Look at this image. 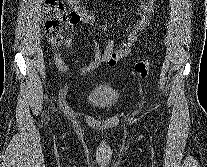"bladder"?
<instances>
[{
	"instance_id": "obj_1",
	"label": "bladder",
	"mask_w": 207,
	"mask_h": 167,
	"mask_svg": "<svg viewBox=\"0 0 207 167\" xmlns=\"http://www.w3.org/2000/svg\"><path fill=\"white\" fill-rule=\"evenodd\" d=\"M120 98L119 92L108 83L95 84L86 95V103L93 108H109Z\"/></svg>"
}]
</instances>
